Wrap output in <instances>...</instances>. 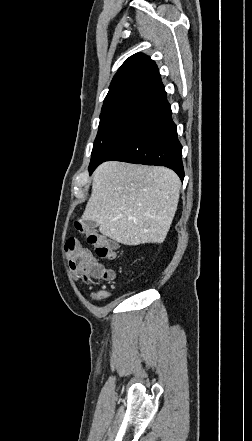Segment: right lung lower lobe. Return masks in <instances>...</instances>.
<instances>
[{
    "instance_id": "98d812e1",
    "label": "right lung lower lobe",
    "mask_w": 252,
    "mask_h": 441,
    "mask_svg": "<svg viewBox=\"0 0 252 441\" xmlns=\"http://www.w3.org/2000/svg\"><path fill=\"white\" fill-rule=\"evenodd\" d=\"M166 96L162 89L147 100L133 129L105 161L165 166L183 180L182 146ZM95 168L89 171L90 174Z\"/></svg>"
}]
</instances>
